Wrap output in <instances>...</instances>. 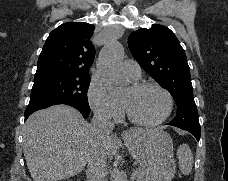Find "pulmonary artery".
Masks as SVG:
<instances>
[{
	"instance_id": "pulmonary-artery-1",
	"label": "pulmonary artery",
	"mask_w": 228,
	"mask_h": 181,
	"mask_svg": "<svg viewBox=\"0 0 228 181\" xmlns=\"http://www.w3.org/2000/svg\"><path fill=\"white\" fill-rule=\"evenodd\" d=\"M139 67V62H127V65H124V75H127L132 80H137L140 76L136 72Z\"/></svg>"
}]
</instances>
